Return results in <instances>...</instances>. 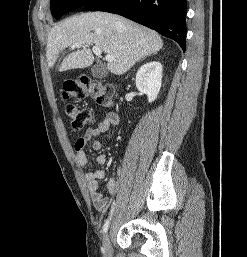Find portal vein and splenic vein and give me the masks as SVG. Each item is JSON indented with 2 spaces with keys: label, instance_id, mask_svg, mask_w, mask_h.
I'll return each instance as SVG.
<instances>
[{
  "label": "portal vein and splenic vein",
  "instance_id": "portal-vein-and-splenic-vein-1",
  "mask_svg": "<svg viewBox=\"0 0 247 257\" xmlns=\"http://www.w3.org/2000/svg\"><path fill=\"white\" fill-rule=\"evenodd\" d=\"M81 46H82V43L78 42V43H74L71 47L72 48H80ZM92 51L95 55H101L102 54L101 49L97 46H93ZM105 59H106V61L111 62V61L114 60V57L111 56V55H106Z\"/></svg>",
  "mask_w": 247,
  "mask_h": 257
}]
</instances>
